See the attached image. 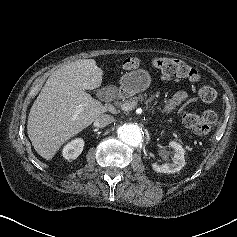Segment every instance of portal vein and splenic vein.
Instances as JSON below:
<instances>
[{"instance_id": "18ae733b", "label": "portal vein and splenic vein", "mask_w": 237, "mask_h": 237, "mask_svg": "<svg viewBox=\"0 0 237 237\" xmlns=\"http://www.w3.org/2000/svg\"><path fill=\"white\" fill-rule=\"evenodd\" d=\"M133 107L132 106H129V105H126V106H123L122 107V109L124 110V111H129V110H131Z\"/></svg>"}]
</instances>
